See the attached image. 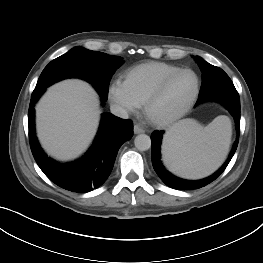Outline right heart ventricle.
Segmentation results:
<instances>
[{
	"label": "right heart ventricle",
	"mask_w": 263,
	"mask_h": 263,
	"mask_svg": "<svg viewBox=\"0 0 263 263\" xmlns=\"http://www.w3.org/2000/svg\"><path fill=\"white\" fill-rule=\"evenodd\" d=\"M179 68L165 62H147L127 69L123 82L131 96L142 105L159 82Z\"/></svg>",
	"instance_id": "obj_1"
}]
</instances>
